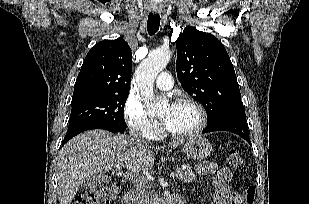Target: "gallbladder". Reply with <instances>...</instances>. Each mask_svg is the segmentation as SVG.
<instances>
[{
    "label": "gallbladder",
    "mask_w": 309,
    "mask_h": 204,
    "mask_svg": "<svg viewBox=\"0 0 309 204\" xmlns=\"http://www.w3.org/2000/svg\"><path fill=\"white\" fill-rule=\"evenodd\" d=\"M108 180V178L104 175H93L85 178L81 182V187L84 189H91L99 185L101 182Z\"/></svg>",
    "instance_id": "bac80fb5"
}]
</instances>
